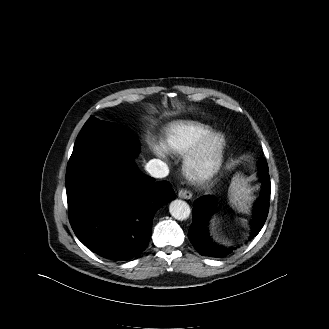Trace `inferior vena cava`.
Returning <instances> with one entry per match:
<instances>
[{"label":"inferior vena cava","instance_id":"obj_1","mask_svg":"<svg viewBox=\"0 0 329 329\" xmlns=\"http://www.w3.org/2000/svg\"><path fill=\"white\" fill-rule=\"evenodd\" d=\"M145 170L154 178H164L169 174L166 163L160 159H152L145 165Z\"/></svg>","mask_w":329,"mask_h":329}]
</instances>
